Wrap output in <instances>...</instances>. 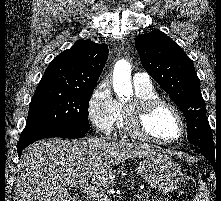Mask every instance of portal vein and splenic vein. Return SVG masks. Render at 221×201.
I'll return each mask as SVG.
<instances>
[{
	"label": "portal vein and splenic vein",
	"instance_id": "18ae733b",
	"mask_svg": "<svg viewBox=\"0 0 221 201\" xmlns=\"http://www.w3.org/2000/svg\"><path fill=\"white\" fill-rule=\"evenodd\" d=\"M69 185L75 186L76 188L80 189L84 193L92 196L97 201H107L108 196L102 192L100 189H98L96 186H93L92 184L86 182V181H78V182H69ZM141 194H137L136 198L141 199Z\"/></svg>",
	"mask_w": 221,
	"mask_h": 201
}]
</instances>
